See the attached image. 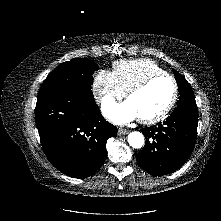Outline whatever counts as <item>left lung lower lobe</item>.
<instances>
[{
    "instance_id": "1",
    "label": "left lung lower lobe",
    "mask_w": 221,
    "mask_h": 221,
    "mask_svg": "<svg viewBox=\"0 0 221 221\" xmlns=\"http://www.w3.org/2000/svg\"><path fill=\"white\" fill-rule=\"evenodd\" d=\"M197 125L198 111L181 109L160 124L143 128L146 143L137 154L138 165L154 176L181 168L193 152Z\"/></svg>"
}]
</instances>
